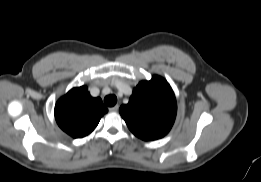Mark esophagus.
I'll list each match as a JSON object with an SVG mask.
<instances>
[{
  "label": "esophagus",
  "instance_id": "esophagus-1",
  "mask_svg": "<svg viewBox=\"0 0 261 182\" xmlns=\"http://www.w3.org/2000/svg\"><path fill=\"white\" fill-rule=\"evenodd\" d=\"M118 109H119V105H115V106L109 108V110L112 111V112H115V111H117Z\"/></svg>",
  "mask_w": 261,
  "mask_h": 182
}]
</instances>
